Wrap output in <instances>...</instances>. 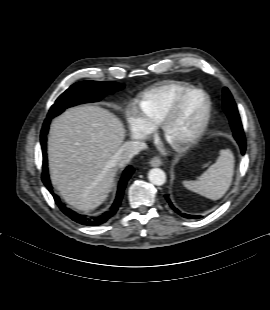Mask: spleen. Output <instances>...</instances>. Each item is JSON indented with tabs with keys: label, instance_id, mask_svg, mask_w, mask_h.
<instances>
[{
	"label": "spleen",
	"instance_id": "obj_1",
	"mask_svg": "<svg viewBox=\"0 0 270 310\" xmlns=\"http://www.w3.org/2000/svg\"><path fill=\"white\" fill-rule=\"evenodd\" d=\"M235 160L231 150L219 152V157L196 181H184V186L211 200H218L228 191L234 175Z\"/></svg>",
	"mask_w": 270,
	"mask_h": 310
}]
</instances>
